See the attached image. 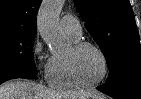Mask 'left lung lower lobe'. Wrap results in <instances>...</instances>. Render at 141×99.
<instances>
[{
  "instance_id": "obj_1",
  "label": "left lung lower lobe",
  "mask_w": 141,
  "mask_h": 99,
  "mask_svg": "<svg viewBox=\"0 0 141 99\" xmlns=\"http://www.w3.org/2000/svg\"><path fill=\"white\" fill-rule=\"evenodd\" d=\"M97 89L115 99H141V77H128Z\"/></svg>"
}]
</instances>
